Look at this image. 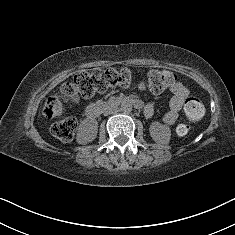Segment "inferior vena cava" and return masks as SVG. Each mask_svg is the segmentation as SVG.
Listing matches in <instances>:
<instances>
[{
    "mask_svg": "<svg viewBox=\"0 0 235 235\" xmlns=\"http://www.w3.org/2000/svg\"><path fill=\"white\" fill-rule=\"evenodd\" d=\"M106 113H107V114H110V113H112V110H111V111H107Z\"/></svg>",
    "mask_w": 235,
    "mask_h": 235,
    "instance_id": "inferior-vena-cava-1",
    "label": "inferior vena cava"
}]
</instances>
